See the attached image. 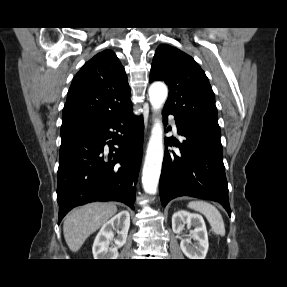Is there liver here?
Returning <instances> with one entry per match:
<instances>
[{
  "mask_svg": "<svg viewBox=\"0 0 287 287\" xmlns=\"http://www.w3.org/2000/svg\"><path fill=\"white\" fill-rule=\"evenodd\" d=\"M116 212L114 203L101 202L87 204L71 211L63 224L64 238L70 250L77 252L85 240Z\"/></svg>",
  "mask_w": 287,
  "mask_h": 287,
  "instance_id": "1",
  "label": "liver"
}]
</instances>
